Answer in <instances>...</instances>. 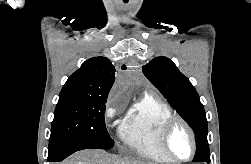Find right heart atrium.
Here are the masks:
<instances>
[{
  "mask_svg": "<svg viewBox=\"0 0 251 164\" xmlns=\"http://www.w3.org/2000/svg\"><path fill=\"white\" fill-rule=\"evenodd\" d=\"M118 108L114 105H110L106 108L104 118L106 122L111 121L117 114Z\"/></svg>",
  "mask_w": 251,
  "mask_h": 164,
  "instance_id": "obj_1",
  "label": "right heart atrium"
}]
</instances>
